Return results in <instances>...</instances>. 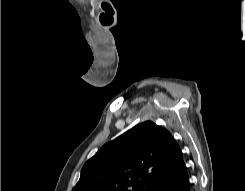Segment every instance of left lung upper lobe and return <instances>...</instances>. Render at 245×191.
I'll list each match as a JSON object with an SVG mask.
<instances>
[{
	"label": "left lung upper lobe",
	"mask_w": 245,
	"mask_h": 191,
	"mask_svg": "<svg viewBox=\"0 0 245 191\" xmlns=\"http://www.w3.org/2000/svg\"><path fill=\"white\" fill-rule=\"evenodd\" d=\"M180 154L168 130L145 121L89 159L72 191H153Z\"/></svg>",
	"instance_id": "left-lung-upper-lobe-1"
}]
</instances>
